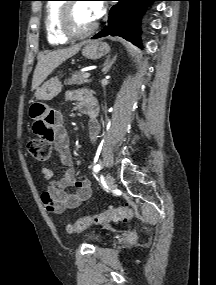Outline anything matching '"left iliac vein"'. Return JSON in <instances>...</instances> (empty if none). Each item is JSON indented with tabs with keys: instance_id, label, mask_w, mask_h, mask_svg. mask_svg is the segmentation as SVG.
<instances>
[{
	"instance_id": "4c4485c4",
	"label": "left iliac vein",
	"mask_w": 216,
	"mask_h": 285,
	"mask_svg": "<svg viewBox=\"0 0 216 285\" xmlns=\"http://www.w3.org/2000/svg\"><path fill=\"white\" fill-rule=\"evenodd\" d=\"M105 181L108 189L114 188V178L110 174L106 175Z\"/></svg>"
}]
</instances>
